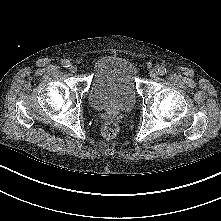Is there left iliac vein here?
<instances>
[{"label": "left iliac vein", "instance_id": "1", "mask_svg": "<svg viewBox=\"0 0 221 221\" xmlns=\"http://www.w3.org/2000/svg\"><path fill=\"white\" fill-rule=\"evenodd\" d=\"M149 76L154 79L158 76V71L156 69H152L150 72H149Z\"/></svg>", "mask_w": 221, "mask_h": 221}]
</instances>
